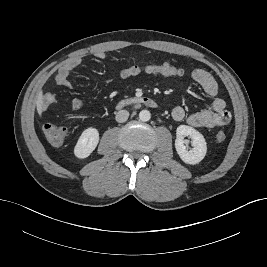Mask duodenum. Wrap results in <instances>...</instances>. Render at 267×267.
I'll use <instances>...</instances> for the list:
<instances>
[{
	"label": "duodenum",
	"instance_id": "duodenum-1",
	"mask_svg": "<svg viewBox=\"0 0 267 267\" xmlns=\"http://www.w3.org/2000/svg\"><path fill=\"white\" fill-rule=\"evenodd\" d=\"M137 105H146L149 107H157V103L154 99L148 96H139L131 97L125 100H122L118 103V108H123L126 106H137Z\"/></svg>",
	"mask_w": 267,
	"mask_h": 267
}]
</instances>
